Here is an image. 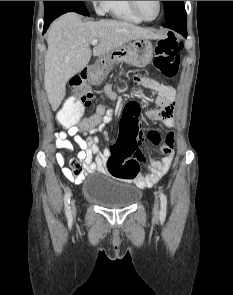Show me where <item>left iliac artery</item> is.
Returning a JSON list of instances; mask_svg holds the SVG:
<instances>
[{
    "label": "left iliac artery",
    "mask_w": 233,
    "mask_h": 295,
    "mask_svg": "<svg viewBox=\"0 0 233 295\" xmlns=\"http://www.w3.org/2000/svg\"><path fill=\"white\" fill-rule=\"evenodd\" d=\"M160 201H161L160 219L163 221L166 218L167 198L162 191L160 192Z\"/></svg>",
    "instance_id": "44dca946"
}]
</instances>
